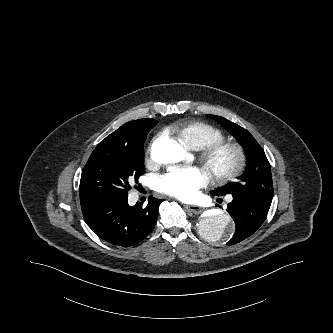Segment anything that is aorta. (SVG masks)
<instances>
[{"instance_id": "1", "label": "aorta", "mask_w": 333, "mask_h": 333, "mask_svg": "<svg viewBox=\"0 0 333 333\" xmlns=\"http://www.w3.org/2000/svg\"><path fill=\"white\" fill-rule=\"evenodd\" d=\"M151 155L157 163L170 164L181 161L185 151L172 139H159L153 144ZM199 229L205 239L221 242L230 239L234 233L230 216L218 210H213L204 216L200 220Z\"/></svg>"}]
</instances>
